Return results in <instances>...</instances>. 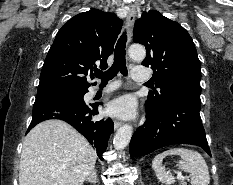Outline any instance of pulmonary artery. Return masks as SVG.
<instances>
[{
    "label": "pulmonary artery",
    "mask_w": 233,
    "mask_h": 185,
    "mask_svg": "<svg viewBox=\"0 0 233 185\" xmlns=\"http://www.w3.org/2000/svg\"><path fill=\"white\" fill-rule=\"evenodd\" d=\"M132 78L136 81L144 82L149 79V72L146 68L143 67H134L132 69ZM117 88L116 84H111L105 87L101 92L109 93ZM98 90H95L97 92Z\"/></svg>",
    "instance_id": "pulmonary-artery-1"
}]
</instances>
